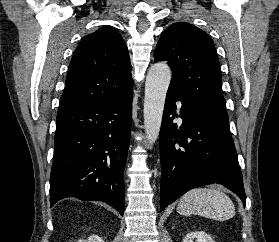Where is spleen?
I'll return each instance as SVG.
<instances>
[{
  "label": "spleen",
  "mask_w": 279,
  "mask_h": 242,
  "mask_svg": "<svg viewBox=\"0 0 279 242\" xmlns=\"http://www.w3.org/2000/svg\"><path fill=\"white\" fill-rule=\"evenodd\" d=\"M181 215L192 213L215 220H228L235 216L232 200L222 191L214 188H196L185 193L177 207Z\"/></svg>",
  "instance_id": "spleen-1"
}]
</instances>
